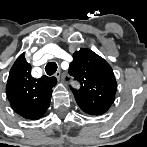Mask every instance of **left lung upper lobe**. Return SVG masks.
Here are the masks:
<instances>
[{"instance_id":"5c2ea615","label":"left lung upper lobe","mask_w":147,"mask_h":147,"mask_svg":"<svg viewBox=\"0 0 147 147\" xmlns=\"http://www.w3.org/2000/svg\"><path fill=\"white\" fill-rule=\"evenodd\" d=\"M69 74L81 87L72 89L77 104L87 114H104L115 99L117 83L111 66L89 49L73 54Z\"/></svg>"}]
</instances>
